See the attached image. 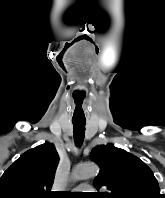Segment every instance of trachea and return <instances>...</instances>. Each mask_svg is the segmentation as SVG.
I'll list each match as a JSON object with an SVG mask.
<instances>
[{"mask_svg":"<svg viewBox=\"0 0 165 198\" xmlns=\"http://www.w3.org/2000/svg\"><path fill=\"white\" fill-rule=\"evenodd\" d=\"M74 141L77 146H80L85 136V121H72Z\"/></svg>","mask_w":165,"mask_h":198,"instance_id":"3493384b","label":"trachea"}]
</instances>
